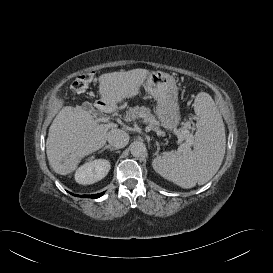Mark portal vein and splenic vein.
Masks as SVG:
<instances>
[{"mask_svg": "<svg viewBox=\"0 0 273 273\" xmlns=\"http://www.w3.org/2000/svg\"><path fill=\"white\" fill-rule=\"evenodd\" d=\"M98 122H108L110 124H114L110 119H106L104 117L102 118H97L96 119ZM187 130H185V133ZM191 143L189 141H186L185 143L181 144L182 151H189Z\"/></svg>", "mask_w": 273, "mask_h": 273, "instance_id": "portal-vein-and-splenic-vein-1", "label": "portal vein and splenic vein"}]
</instances>
